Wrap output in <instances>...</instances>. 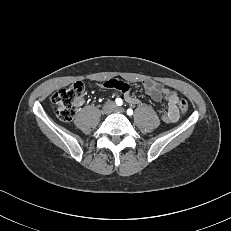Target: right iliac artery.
<instances>
[{
	"instance_id": "1",
	"label": "right iliac artery",
	"mask_w": 231,
	"mask_h": 231,
	"mask_svg": "<svg viewBox=\"0 0 231 231\" xmlns=\"http://www.w3.org/2000/svg\"><path fill=\"white\" fill-rule=\"evenodd\" d=\"M116 104H117L118 106H121V105L123 104L122 99L117 98V99H116Z\"/></svg>"
}]
</instances>
